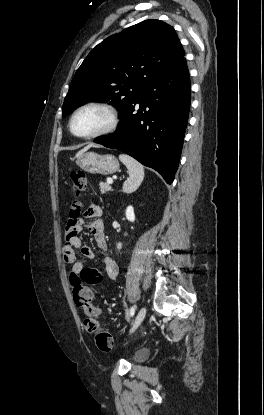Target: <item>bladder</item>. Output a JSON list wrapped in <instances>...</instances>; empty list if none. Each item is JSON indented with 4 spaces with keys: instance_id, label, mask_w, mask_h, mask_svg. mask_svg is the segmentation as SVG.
<instances>
[{
    "instance_id": "bladder-1",
    "label": "bladder",
    "mask_w": 264,
    "mask_h": 415,
    "mask_svg": "<svg viewBox=\"0 0 264 415\" xmlns=\"http://www.w3.org/2000/svg\"><path fill=\"white\" fill-rule=\"evenodd\" d=\"M149 357V351L146 349H139L135 351L133 358L137 362L145 361Z\"/></svg>"
}]
</instances>
